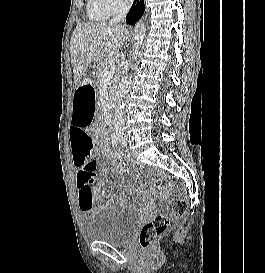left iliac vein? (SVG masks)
<instances>
[{
  "label": "left iliac vein",
  "mask_w": 265,
  "mask_h": 273,
  "mask_svg": "<svg viewBox=\"0 0 265 273\" xmlns=\"http://www.w3.org/2000/svg\"><path fill=\"white\" fill-rule=\"evenodd\" d=\"M120 143H121L122 146H126L128 144V136H127V134L125 133L124 130L122 132Z\"/></svg>",
  "instance_id": "1"
}]
</instances>
